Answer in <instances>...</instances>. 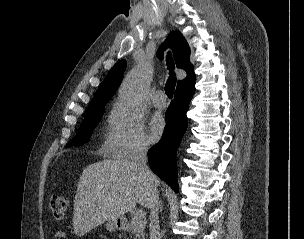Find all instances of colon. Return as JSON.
Instances as JSON below:
<instances>
[{"label":"colon","mask_w":304,"mask_h":239,"mask_svg":"<svg viewBox=\"0 0 304 239\" xmlns=\"http://www.w3.org/2000/svg\"><path fill=\"white\" fill-rule=\"evenodd\" d=\"M50 209L55 218H63L70 208V200L65 196L54 195L49 201Z\"/></svg>","instance_id":"1"}]
</instances>
